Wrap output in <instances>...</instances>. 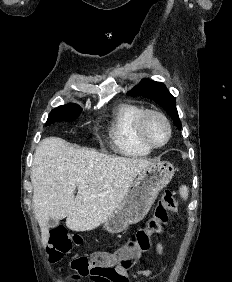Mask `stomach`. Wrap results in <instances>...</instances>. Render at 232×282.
<instances>
[{
  "label": "stomach",
  "instance_id": "0dacf381",
  "mask_svg": "<svg viewBox=\"0 0 232 282\" xmlns=\"http://www.w3.org/2000/svg\"><path fill=\"white\" fill-rule=\"evenodd\" d=\"M174 172V166L166 161L153 162L143 169L131 184L123 201L103 223L102 228L115 234L141 221L158 193L171 181Z\"/></svg>",
  "mask_w": 232,
  "mask_h": 282
}]
</instances>
